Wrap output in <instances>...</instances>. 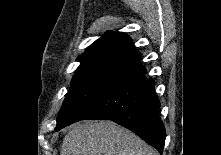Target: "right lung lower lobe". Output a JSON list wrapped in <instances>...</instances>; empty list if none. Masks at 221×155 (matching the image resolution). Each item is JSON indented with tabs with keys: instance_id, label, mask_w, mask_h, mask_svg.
<instances>
[{
	"instance_id": "obj_1",
	"label": "right lung lower lobe",
	"mask_w": 221,
	"mask_h": 155,
	"mask_svg": "<svg viewBox=\"0 0 221 155\" xmlns=\"http://www.w3.org/2000/svg\"><path fill=\"white\" fill-rule=\"evenodd\" d=\"M140 57L134 50L115 65L81 120H112L162 153L166 132L158 113L160 102Z\"/></svg>"
}]
</instances>
